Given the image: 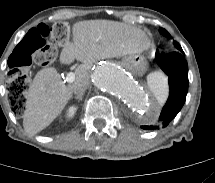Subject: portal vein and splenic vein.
Here are the masks:
<instances>
[{"instance_id": "1", "label": "portal vein and splenic vein", "mask_w": 215, "mask_h": 183, "mask_svg": "<svg viewBox=\"0 0 215 183\" xmlns=\"http://www.w3.org/2000/svg\"><path fill=\"white\" fill-rule=\"evenodd\" d=\"M75 76H76L75 73L69 72V73L67 74V76H66L67 82H69V83L74 82Z\"/></svg>"}]
</instances>
